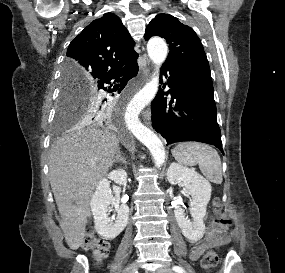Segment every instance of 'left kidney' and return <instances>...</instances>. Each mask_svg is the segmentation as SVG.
Returning <instances> with one entry per match:
<instances>
[{
    "instance_id": "obj_1",
    "label": "left kidney",
    "mask_w": 285,
    "mask_h": 273,
    "mask_svg": "<svg viewBox=\"0 0 285 273\" xmlns=\"http://www.w3.org/2000/svg\"><path fill=\"white\" fill-rule=\"evenodd\" d=\"M169 183H181L192 199L190 200L192 222L186 217L184 210L176 207L175 218L183 235L191 242L200 240L205 231L204 218L206 207L211 198V184L194 170L173 162L167 171Z\"/></svg>"
}]
</instances>
